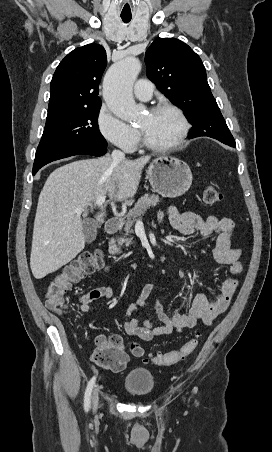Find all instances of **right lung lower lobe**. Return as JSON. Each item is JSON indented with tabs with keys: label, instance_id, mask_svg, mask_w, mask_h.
I'll return each instance as SVG.
<instances>
[{
	"label": "right lung lower lobe",
	"instance_id": "98d812e1",
	"mask_svg": "<svg viewBox=\"0 0 272 452\" xmlns=\"http://www.w3.org/2000/svg\"><path fill=\"white\" fill-rule=\"evenodd\" d=\"M106 152H107L106 147L96 148L78 144L56 149L37 150L33 165V175H35L41 167L55 160L80 154L102 156Z\"/></svg>",
	"mask_w": 272,
	"mask_h": 452
}]
</instances>
